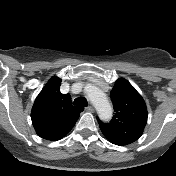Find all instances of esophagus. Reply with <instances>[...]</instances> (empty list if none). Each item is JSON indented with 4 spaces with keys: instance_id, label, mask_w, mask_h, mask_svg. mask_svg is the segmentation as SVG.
Segmentation results:
<instances>
[{
    "instance_id": "34e87169",
    "label": "esophagus",
    "mask_w": 176,
    "mask_h": 176,
    "mask_svg": "<svg viewBox=\"0 0 176 176\" xmlns=\"http://www.w3.org/2000/svg\"><path fill=\"white\" fill-rule=\"evenodd\" d=\"M86 110L89 112H94V108L92 106L86 107Z\"/></svg>"
}]
</instances>
